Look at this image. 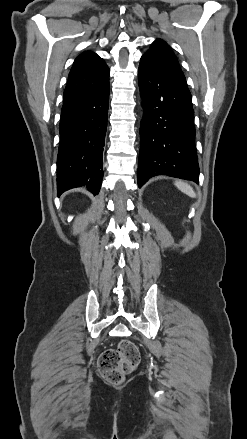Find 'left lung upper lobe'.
<instances>
[{"instance_id":"obj_1","label":"left lung upper lobe","mask_w":247,"mask_h":439,"mask_svg":"<svg viewBox=\"0 0 247 439\" xmlns=\"http://www.w3.org/2000/svg\"><path fill=\"white\" fill-rule=\"evenodd\" d=\"M141 60L176 82L187 86L185 76L175 54L163 40H155L150 49L141 57Z\"/></svg>"}]
</instances>
